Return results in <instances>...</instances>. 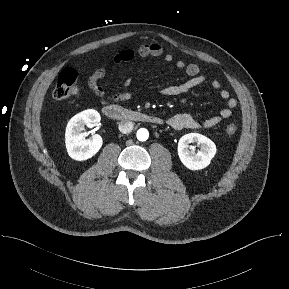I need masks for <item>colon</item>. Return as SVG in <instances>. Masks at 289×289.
I'll use <instances>...</instances> for the list:
<instances>
[{"instance_id": "1", "label": "colon", "mask_w": 289, "mask_h": 289, "mask_svg": "<svg viewBox=\"0 0 289 289\" xmlns=\"http://www.w3.org/2000/svg\"><path fill=\"white\" fill-rule=\"evenodd\" d=\"M78 92L77 73L73 68H65L58 76L56 85L53 90V96L56 99H66L74 96ZM237 131V126L234 123H229L226 126V133L230 136Z\"/></svg>"}]
</instances>
